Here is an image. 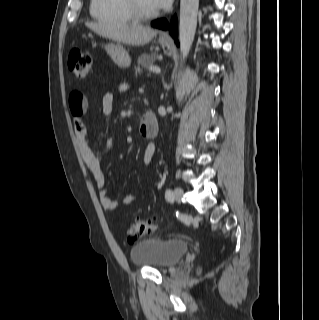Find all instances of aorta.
<instances>
[{
  "label": "aorta",
  "instance_id": "1",
  "mask_svg": "<svg viewBox=\"0 0 319 320\" xmlns=\"http://www.w3.org/2000/svg\"><path fill=\"white\" fill-rule=\"evenodd\" d=\"M198 7L199 0H180L179 41L183 61L189 54L194 40Z\"/></svg>",
  "mask_w": 319,
  "mask_h": 320
}]
</instances>
